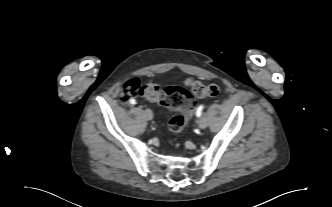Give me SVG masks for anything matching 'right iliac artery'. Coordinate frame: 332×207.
Instances as JSON below:
<instances>
[{"mask_svg":"<svg viewBox=\"0 0 332 207\" xmlns=\"http://www.w3.org/2000/svg\"><path fill=\"white\" fill-rule=\"evenodd\" d=\"M130 103L134 105V104H136V100L135 99H131Z\"/></svg>","mask_w":332,"mask_h":207,"instance_id":"82829eb1","label":"right iliac artery"}]
</instances>
